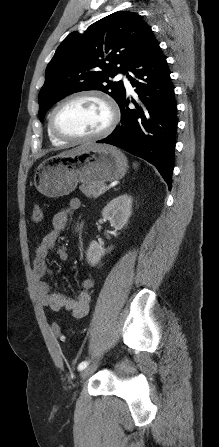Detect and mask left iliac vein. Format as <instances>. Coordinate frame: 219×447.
<instances>
[{"mask_svg":"<svg viewBox=\"0 0 219 447\" xmlns=\"http://www.w3.org/2000/svg\"><path fill=\"white\" fill-rule=\"evenodd\" d=\"M97 368V365H90L86 368H84L81 373L80 376L82 379H86L88 378Z\"/></svg>","mask_w":219,"mask_h":447,"instance_id":"4c4485c4","label":"left iliac vein"}]
</instances>
